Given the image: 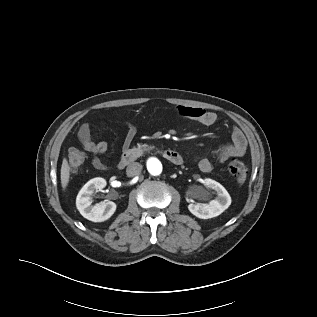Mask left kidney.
<instances>
[{
  "label": "left kidney",
  "mask_w": 317,
  "mask_h": 317,
  "mask_svg": "<svg viewBox=\"0 0 317 317\" xmlns=\"http://www.w3.org/2000/svg\"><path fill=\"white\" fill-rule=\"evenodd\" d=\"M203 184L210 190H213L217 197L209 203H190L188 210L200 219H209L223 213L231 205V197L227 190L215 180L206 178Z\"/></svg>",
  "instance_id": "obj_1"
}]
</instances>
